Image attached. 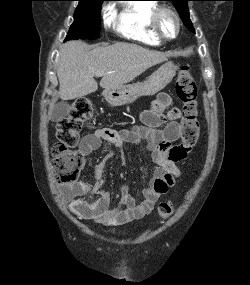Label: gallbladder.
<instances>
[{
    "label": "gallbladder",
    "instance_id": "bac80fb5",
    "mask_svg": "<svg viewBox=\"0 0 250 285\" xmlns=\"http://www.w3.org/2000/svg\"><path fill=\"white\" fill-rule=\"evenodd\" d=\"M69 104L67 102H60L56 104L52 111L51 119L55 122L61 121L69 114Z\"/></svg>",
    "mask_w": 250,
    "mask_h": 285
}]
</instances>
